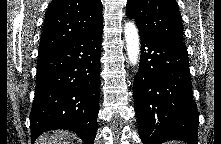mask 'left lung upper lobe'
I'll use <instances>...</instances> for the list:
<instances>
[{"instance_id": "1", "label": "left lung upper lobe", "mask_w": 221, "mask_h": 144, "mask_svg": "<svg viewBox=\"0 0 221 144\" xmlns=\"http://www.w3.org/2000/svg\"><path fill=\"white\" fill-rule=\"evenodd\" d=\"M126 15L135 19L141 35L184 45L175 0H128Z\"/></svg>"}]
</instances>
